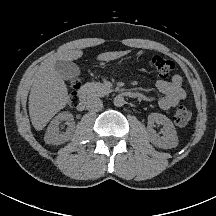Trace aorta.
Segmentation results:
<instances>
[{"mask_svg":"<svg viewBox=\"0 0 216 216\" xmlns=\"http://www.w3.org/2000/svg\"><path fill=\"white\" fill-rule=\"evenodd\" d=\"M116 107H122L125 104V100L122 96H116L113 101Z\"/></svg>","mask_w":216,"mask_h":216,"instance_id":"762f6f07","label":"aorta"}]
</instances>
